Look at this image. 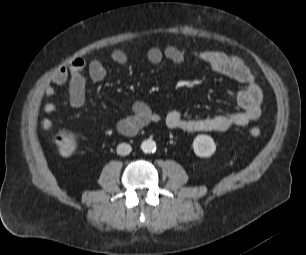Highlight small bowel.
Returning a JSON list of instances; mask_svg holds the SVG:
<instances>
[{
  "instance_id": "c3829d8e",
  "label": "small bowel",
  "mask_w": 306,
  "mask_h": 255,
  "mask_svg": "<svg viewBox=\"0 0 306 255\" xmlns=\"http://www.w3.org/2000/svg\"><path fill=\"white\" fill-rule=\"evenodd\" d=\"M194 56L211 70L245 85L234 95L240 110L211 117L187 118L175 109L159 115L146 103L138 101L133 104L132 114L118 122L117 128L122 134H133L146 124L159 121H163L169 128L186 132L226 131L233 126H246L261 116L263 91L256 81L254 72L240 57L219 50H202L196 52ZM186 58L185 51L175 45H168L164 49L151 47L147 51V59L154 65L160 64L163 60L180 65L186 61ZM111 59L118 65H125L129 60L127 53L122 49L113 50ZM84 71H87L89 78L95 82L102 81L107 76V68L100 59L86 60L77 57L54 73L51 84L45 88V95L54 97L58 87L67 86L70 106L82 107L85 103L86 90ZM44 111L47 114L53 113L55 105L46 104ZM41 126L44 130H49L52 121L44 118Z\"/></svg>"
}]
</instances>
